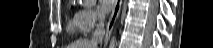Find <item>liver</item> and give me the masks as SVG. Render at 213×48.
<instances>
[{
    "instance_id": "6515ba94",
    "label": "liver",
    "mask_w": 213,
    "mask_h": 48,
    "mask_svg": "<svg viewBox=\"0 0 213 48\" xmlns=\"http://www.w3.org/2000/svg\"><path fill=\"white\" fill-rule=\"evenodd\" d=\"M68 48H96L88 39H81L71 44Z\"/></svg>"
}]
</instances>
